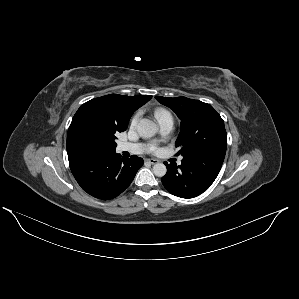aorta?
Listing matches in <instances>:
<instances>
[{
	"label": "aorta",
	"instance_id": "obj_1",
	"mask_svg": "<svg viewBox=\"0 0 299 299\" xmlns=\"http://www.w3.org/2000/svg\"><path fill=\"white\" fill-rule=\"evenodd\" d=\"M137 132L143 138L153 137L157 132V125L150 119H141L137 125ZM167 168L163 163H156L153 166V173L158 177H163Z\"/></svg>",
	"mask_w": 299,
	"mask_h": 299
}]
</instances>
